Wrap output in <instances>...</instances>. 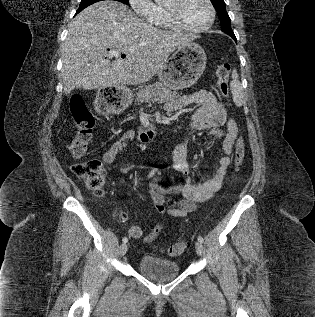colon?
Returning a JSON list of instances; mask_svg holds the SVG:
<instances>
[{
  "instance_id": "1",
  "label": "colon",
  "mask_w": 315,
  "mask_h": 317,
  "mask_svg": "<svg viewBox=\"0 0 315 317\" xmlns=\"http://www.w3.org/2000/svg\"><path fill=\"white\" fill-rule=\"evenodd\" d=\"M231 67L228 63H221L216 67L215 75L217 79V87L220 94L227 99L229 95V78ZM113 95L97 96V107L99 111L106 112L104 97H112ZM70 111L75 124V134L69 143L70 153L76 157H83L87 153L88 144L92 137L94 126V118L84 100L80 96H75L70 101ZM245 158V144L242 137L236 141L234 153V169L240 170ZM73 172L83 180L86 186L95 194L102 195L104 193L106 183V173L99 160L93 159L85 162L75 163L72 166ZM120 221L125 219V214L117 213ZM187 247L185 241H179L167 250L169 256H178L184 252Z\"/></svg>"
}]
</instances>
